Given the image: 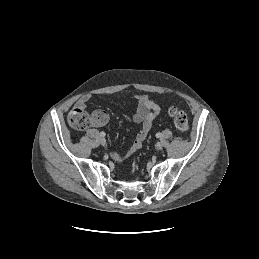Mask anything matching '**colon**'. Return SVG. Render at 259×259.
Listing matches in <instances>:
<instances>
[{"label":"colon","instance_id":"obj_1","mask_svg":"<svg viewBox=\"0 0 259 259\" xmlns=\"http://www.w3.org/2000/svg\"><path fill=\"white\" fill-rule=\"evenodd\" d=\"M169 115L179 131L186 132L188 130V119L183 111L176 107H171L169 109ZM68 122L74 129L82 131L91 125L92 119L84 108L74 107L68 115Z\"/></svg>","mask_w":259,"mask_h":259}]
</instances>
